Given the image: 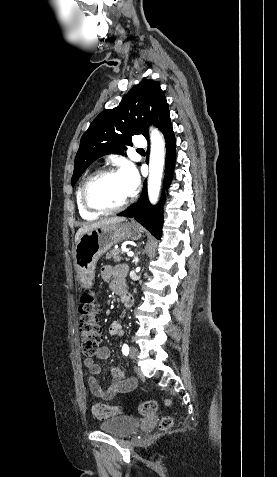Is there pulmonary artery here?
Segmentation results:
<instances>
[{"instance_id": "1", "label": "pulmonary artery", "mask_w": 277, "mask_h": 477, "mask_svg": "<svg viewBox=\"0 0 277 477\" xmlns=\"http://www.w3.org/2000/svg\"><path fill=\"white\" fill-rule=\"evenodd\" d=\"M135 147L139 150L146 147V141L143 138H138L135 141Z\"/></svg>"}]
</instances>
